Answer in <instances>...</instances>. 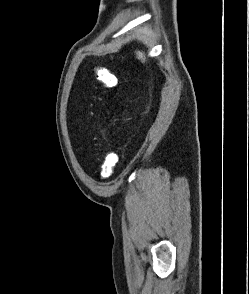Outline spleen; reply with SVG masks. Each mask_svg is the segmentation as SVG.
Returning a JSON list of instances; mask_svg holds the SVG:
<instances>
[{
    "label": "spleen",
    "mask_w": 249,
    "mask_h": 294,
    "mask_svg": "<svg viewBox=\"0 0 249 294\" xmlns=\"http://www.w3.org/2000/svg\"><path fill=\"white\" fill-rule=\"evenodd\" d=\"M136 56H137V58L139 59V60H141L142 62H145V54L143 53V52H141V51H137L136 52Z\"/></svg>",
    "instance_id": "3e777b00"
}]
</instances>
